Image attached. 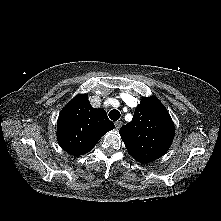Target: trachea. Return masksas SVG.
I'll return each mask as SVG.
<instances>
[{
    "instance_id": "3493384b",
    "label": "trachea",
    "mask_w": 221,
    "mask_h": 221,
    "mask_svg": "<svg viewBox=\"0 0 221 221\" xmlns=\"http://www.w3.org/2000/svg\"><path fill=\"white\" fill-rule=\"evenodd\" d=\"M120 112L116 109H113L109 112V118L113 121H117L120 118Z\"/></svg>"
}]
</instances>
